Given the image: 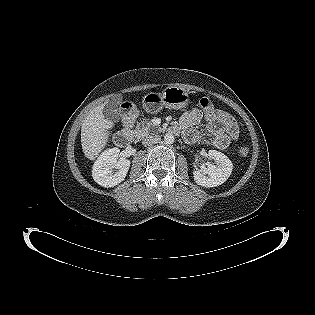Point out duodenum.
I'll list each match as a JSON object with an SVG mask.
<instances>
[{
  "label": "duodenum",
  "instance_id": "duodenum-1",
  "mask_svg": "<svg viewBox=\"0 0 315 315\" xmlns=\"http://www.w3.org/2000/svg\"><path fill=\"white\" fill-rule=\"evenodd\" d=\"M124 127L114 134V142L119 147H126L129 145L132 138V126L134 124V119L126 120L123 119ZM168 131L172 134H179L180 130L177 126H170Z\"/></svg>",
  "mask_w": 315,
  "mask_h": 315
}]
</instances>
